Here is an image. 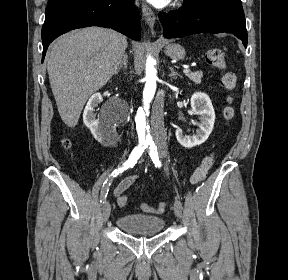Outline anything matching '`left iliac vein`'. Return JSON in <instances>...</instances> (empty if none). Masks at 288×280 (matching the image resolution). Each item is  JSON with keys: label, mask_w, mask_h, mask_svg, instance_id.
Masks as SVG:
<instances>
[{"label": "left iliac vein", "mask_w": 288, "mask_h": 280, "mask_svg": "<svg viewBox=\"0 0 288 280\" xmlns=\"http://www.w3.org/2000/svg\"><path fill=\"white\" fill-rule=\"evenodd\" d=\"M182 210H183L182 204L177 203V201H175L174 202V213L178 218L182 217Z\"/></svg>", "instance_id": "left-iliac-vein-1"}]
</instances>
